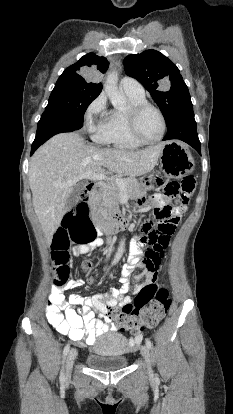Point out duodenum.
<instances>
[{"mask_svg": "<svg viewBox=\"0 0 233 414\" xmlns=\"http://www.w3.org/2000/svg\"><path fill=\"white\" fill-rule=\"evenodd\" d=\"M86 196L83 203L91 209V220L96 222V228L99 233H113L122 230L125 226V218L123 214L116 213L110 219H104V213L101 211V205L96 204L102 198V191L97 185L90 184L86 187Z\"/></svg>", "mask_w": 233, "mask_h": 414, "instance_id": "1", "label": "duodenum"}]
</instances>
